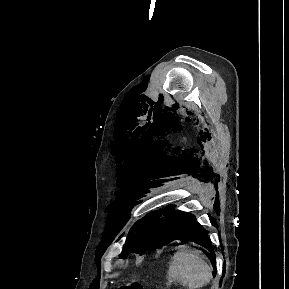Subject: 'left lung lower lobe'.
<instances>
[{
  "label": "left lung lower lobe",
  "mask_w": 289,
  "mask_h": 289,
  "mask_svg": "<svg viewBox=\"0 0 289 289\" xmlns=\"http://www.w3.org/2000/svg\"><path fill=\"white\" fill-rule=\"evenodd\" d=\"M170 208L172 206L162 210L164 211L162 214L167 218L168 242L176 239L189 240L214 253L207 236L208 232L195 220V216L190 213L171 211ZM213 267L215 269L214 264Z\"/></svg>",
  "instance_id": "left-lung-lower-lobe-1"
}]
</instances>
